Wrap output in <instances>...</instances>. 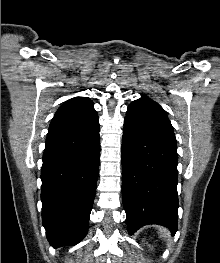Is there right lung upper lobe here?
Here are the masks:
<instances>
[{"instance_id":"cb5924a9","label":"right lung upper lobe","mask_w":220,"mask_h":263,"mask_svg":"<svg viewBox=\"0 0 220 263\" xmlns=\"http://www.w3.org/2000/svg\"><path fill=\"white\" fill-rule=\"evenodd\" d=\"M98 126L99 118L93 102L86 97H74L57 110L48 135L78 138L90 134Z\"/></svg>"}]
</instances>
